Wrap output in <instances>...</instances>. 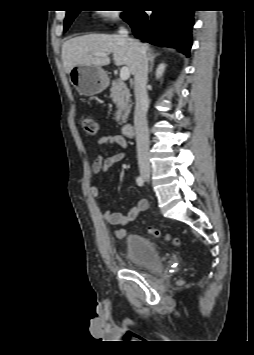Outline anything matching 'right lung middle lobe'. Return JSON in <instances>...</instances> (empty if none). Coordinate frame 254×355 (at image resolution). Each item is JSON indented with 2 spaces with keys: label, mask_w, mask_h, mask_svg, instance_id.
<instances>
[{
  "label": "right lung middle lobe",
  "mask_w": 254,
  "mask_h": 355,
  "mask_svg": "<svg viewBox=\"0 0 254 355\" xmlns=\"http://www.w3.org/2000/svg\"><path fill=\"white\" fill-rule=\"evenodd\" d=\"M130 10H127L124 13V16H126L129 13ZM79 13V11H68L66 14V18H65V22H64V31H66L68 29V27L70 26V24L72 23V21L74 20V18L77 16V14Z\"/></svg>",
  "instance_id": "obj_1"
}]
</instances>
